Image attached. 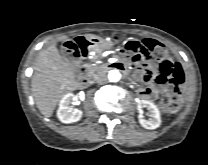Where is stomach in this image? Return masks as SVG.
I'll return each mask as SVG.
<instances>
[{"label":"stomach","mask_w":208,"mask_h":165,"mask_svg":"<svg viewBox=\"0 0 208 165\" xmlns=\"http://www.w3.org/2000/svg\"><path fill=\"white\" fill-rule=\"evenodd\" d=\"M86 40L89 44L90 50H93L97 53L103 52L113 46V42L103 39L99 36L88 35L86 36Z\"/></svg>","instance_id":"obj_1"}]
</instances>
